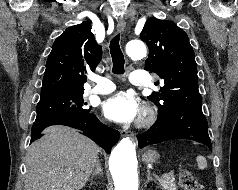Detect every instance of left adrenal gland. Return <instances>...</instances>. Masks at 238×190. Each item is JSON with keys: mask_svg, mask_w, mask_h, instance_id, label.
I'll return each instance as SVG.
<instances>
[{"mask_svg": "<svg viewBox=\"0 0 238 190\" xmlns=\"http://www.w3.org/2000/svg\"><path fill=\"white\" fill-rule=\"evenodd\" d=\"M150 181H155V180L151 177L150 170L147 169V180H146L145 184L147 185Z\"/></svg>", "mask_w": 238, "mask_h": 190, "instance_id": "a2214340", "label": "left adrenal gland"}]
</instances>
